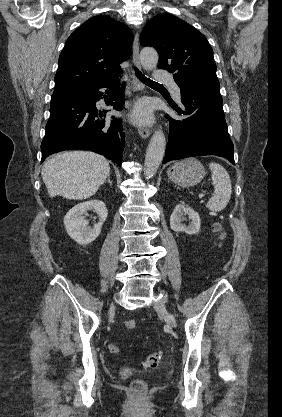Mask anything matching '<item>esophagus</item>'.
<instances>
[{
    "mask_svg": "<svg viewBox=\"0 0 282 417\" xmlns=\"http://www.w3.org/2000/svg\"><path fill=\"white\" fill-rule=\"evenodd\" d=\"M133 62L134 66L141 70V62L139 58V34L136 32L134 42H133ZM144 88L143 83L136 76L135 71L132 73V90L134 93L141 91ZM138 134L142 138H148L151 135V130L144 125L140 124L138 126Z\"/></svg>",
    "mask_w": 282,
    "mask_h": 417,
    "instance_id": "1",
    "label": "esophagus"
}]
</instances>
